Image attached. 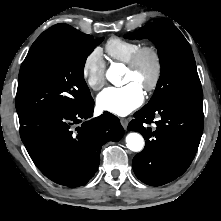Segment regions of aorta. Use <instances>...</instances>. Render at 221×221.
Listing matches in <instances>:
<instances>
[{"label": "aorta", "mask_w": 221, "mask_h": 221, "mask_svg": "<svg viewBox=\"0 0 221 221\" xmlns=\"http://www.w3.org/2000/svg\"><path fill=\"white\" fill-rule=\"evenodd\" d=\"M106 78L114 85L121 83L120 64H112L106 72ZM126 146L133 152H140L144 148L143 137L136 132L126 136Z\"/></svg>", "instance_id": "obj_1"}]
</instances>
